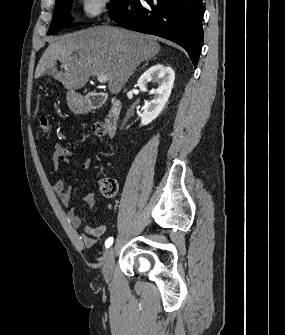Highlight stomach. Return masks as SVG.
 Listing matches in <instances>:
<instances>
[{"label": "stomach", "mask_w": 285, "mask_h": 335, "mask_svg": "<svg viewBox=\"0 0 285 335\" xmlns=\"http://www.w3.org/2000/svg\"><path fill=\"white\" fill-rule=\"evenodd\" d=\"M68 100L69 104H71V106H75L76 110H83L84 102L82 96L74 94V92H70V94H68Z\"/></svg>", "instance_id": "stomach-1"}]
</instances>
